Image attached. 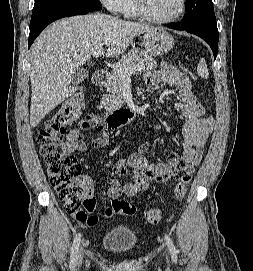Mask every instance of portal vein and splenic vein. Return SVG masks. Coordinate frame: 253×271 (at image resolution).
<instances>
[{
	"label": "portal vein and splenic vein",
	"instance_id": "portal-vein-and-splenic-vein-1",
	"mask_svg": "<svg viewBox=\"0 0 253 271\" xmlns=\"http://www.w3.org/2000/svg\"><path fill=\"white\" fill-rule=\"evenodd\" d=\"M104 53V49H99L97 51H95L93 53L94 57H100L101 55H103ZM144 66L142 64H137L131 67H121L120 68V75L122 78H127L129 77L131 74L137 72V71H141L143 70Z\"/></svg>",
	"mask_w": 253,
	"mask_h": 271
}]
</instances>
